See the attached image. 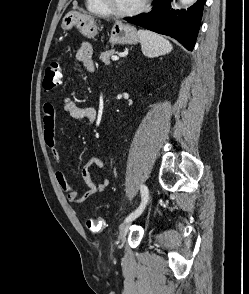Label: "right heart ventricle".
<instances>
[{
  "label": "right heart ventricle",
  "instance_id": "e07e8e85",
  "mask_svg": "<svg viewBox=\"0 0 249 294\" xmlns=\"http://www.w3.org/2000/svg\"><path fill=\"white\" fill-rule=\"evenodd\" d=\"M86 7L88 11H90L93 14H97L100 16L107 15V11L101 5L100 0H86Z\"/></svg>",
  "mask_w": 249,
  "mask_h": 294
}]
</instances>
